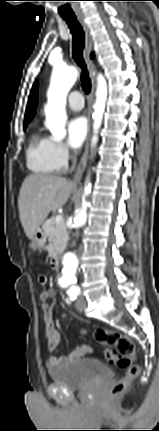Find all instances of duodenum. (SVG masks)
Wrapping results in <instances>:
<instances>
[{
    "mask_svg": "<svg viewBox=\"0 0 159 431\" xmlns=\"http://www.w3.org/2000/svg\"><path fill=\"white\" fill-rule=\"evenodd\" d=\"M61 262V255L60 254H55L52 256L51 258V267L56 269L59 267Z\"/></svg>",
    "mask_w": 159,
    "mask_h": 431,
    "instance_id": "410a0bca",
    "label": "duodenum"
}]
</instances>
